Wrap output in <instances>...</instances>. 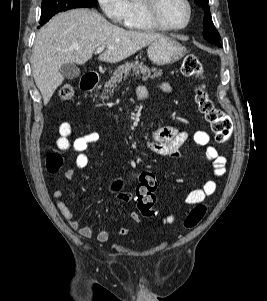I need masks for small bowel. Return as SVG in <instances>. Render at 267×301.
<instances>
[{"label":"small bowel","instance_id":"1","mask_svg":"<svg viewBox=\"0 0 267 301\" xmlns=\"http://www.w3.org/2000/svg\"><path fill=\"white\" fill-rule=\"evenodd\" d=\"M160 88L166 92L171 93L172 87L168 83H162ZM138 97L141 95L147 96V89L144 86H138L136 89ZM73 133V128L69 122H62L58 127V138L56 145L61 150H71L76 153L75 165L77 168H85L88 165L89 159L85 151L90 144H93L99 140L98 133H88L82 136L70 140L69 137ZM189 135L185 131L178 130L172 126H164L154 129L146 137V146L153 153L170 158H179L181 156L180 148L187 141ZM193 142L200 147H205L204 159L211 162L213 172L217 176H222L226 172L227 160L224 156L220 155L217 148L211 145V138L208 132L200 130L193 134ZM74 170L67 169L64 172L66 179L71 180L74 177ZM178 181H181L178 179ZM217 184L214 180H207L203 187L196 188L187 194L185 202L187 204L201 203L206 197L215 193ZM63 193L61 190H55L53 192V198L57 209L61 215L67 220L69 226L76 230L82 237L91 238L93 236V230L90 226H81L75 219L73 212L62 200ZM133 199V194L129 191H123L118 197L115 198L117 202H129ZM132 220L138 222L140 220L139 215L135 212L130 214ZM175 220L173 215L168 216L162 220L164 224H171ZM127 228H121L117 234H128ZM111 231L103 229L96 235V239L103 243L110 238Z\"/></svg>","mask_w":267,"mask_h":301}]
</instances>
